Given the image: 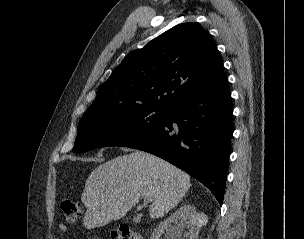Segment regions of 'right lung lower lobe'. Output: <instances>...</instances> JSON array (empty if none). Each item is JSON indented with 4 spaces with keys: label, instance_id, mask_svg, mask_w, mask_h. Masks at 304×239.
<instances>
[{
    "label": "right lung lower lobe",
    "instance_id": "obj_1",
    "mask_svg": "<svg viewBox=\"0 0 304 239\" xmlns=\"http://www.w3.org/2000/svg\"><path fill=\"white\" fill-rule=\"evenodd\" d=\"M233 107L223 74L171 104L155 130L127 145L154 154L203 183L222 205L233 134Z\"/></svg>",
    "mask_w": 304,
    "mask_h": 239
}]
</instances>
